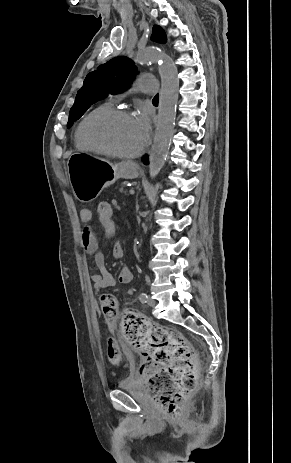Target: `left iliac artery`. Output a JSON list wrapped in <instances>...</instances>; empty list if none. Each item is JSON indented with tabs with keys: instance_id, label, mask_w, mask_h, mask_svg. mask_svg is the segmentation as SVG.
Listing matches in <instances>:
<instances>
[{
	"instance_id": "obj_1",
	"label": "left iliac artery",
	"mask_w": 291,
	"mask_h": 463,
	"mask_svg": "<svg viewBox=\"0 0 291 463\" xmlns=\"http://www.w3.org/2000/svg\"><path fill=\"white\" fill-rule=\"evenodd\" d=\"M139 300L142 302V303H146L147 300H148V296L146 293H141L140 296H139Z\"/></svg>"
}]
</instances>
